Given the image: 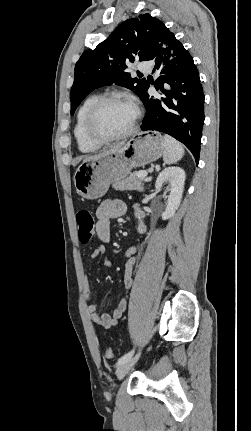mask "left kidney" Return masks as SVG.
Segmentation results:
<instances>
[{
  "label": "left kidney",
  "instance_id": "obj_1",
  "mask_svg": "<svg viewBox=\"0 0 251 431\" xmlns=\"http://www.w3.org/2000/svg\"><path fill=\"white\" fill-rule=\"evenodd\" d=\"M185 178V171L180 167H168L159 173L155 188L159 190L164 183H169L170 190L167 207L162 214L163 220H168L175 215L182 199Z\"/></svg>",
  "mask_w": 251,
  "mask_h": 431
}]
</instances>
